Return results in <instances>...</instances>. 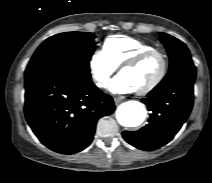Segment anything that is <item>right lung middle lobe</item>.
<instances>
[{
    "mask_svg": "<svg viewBox=\"0 0 212 183\" xmlns=\"http://www.w3.org/2000/svg\"><path fill=\"white\" fill-rule=\"evenodd\" d=\"M95 35L88 32H66L46 39L35 51L27 69H68L89 72Z\"/></svg>",
    "mask_w": 212,
    "mask_h": 183,
    "instance_id": "obj_1",
    "label": "right lung middle lobe"
}]
</instances>
